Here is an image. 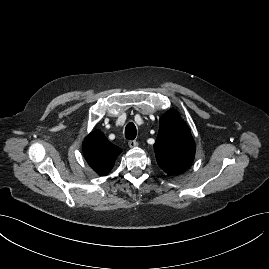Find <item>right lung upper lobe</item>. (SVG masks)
Listing matches in <instances>:
<instances>
[{
	"instance_id": "1",
	"label": "right lung upper lobe",
	"mask_w": 269,
	"mask_h": 269,
	"mask_svg": "<svg viewBox=\"0 0 269 269\" xmlns=\"http://www.w3.org/2000/svg\"><path fill=\"white\" fill-rule=\"evenodd\" d=\"M121 149L107 140L105 135L95 130L83 142V154L89 166L99 175H107L113 168Z\"/></svg>"
}]
</instances>
